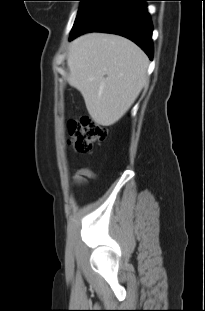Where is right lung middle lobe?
<instances>
[{"label": "right lung middle lobe", "mask_w": 205, "mask_h": 311, "mask_svg": "<svg viewBox=\"0 0 205 311\" xmlns=\"http://www.w3.org/2000/svg\"><path fill=\"white\" fill-rule=\"evenodd\" d=\"M81 1V5H80V8H79V11H78V14H77V17H76V20H75V23L78 22L79 18L81 17V15L84 13L86 7L88 6L90 0H79ZM74 23V24H75Z\"/></svg>", "instance_id": "dd1d6c3e"}]
</instances>
